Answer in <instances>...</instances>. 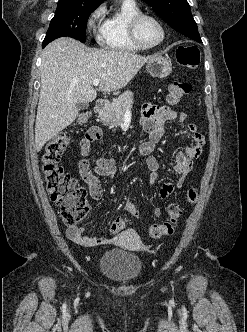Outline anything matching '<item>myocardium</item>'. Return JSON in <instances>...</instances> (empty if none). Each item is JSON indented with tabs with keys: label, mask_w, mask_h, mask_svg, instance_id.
Instances as JSON below:
<instances>
[{
	"label": "myocardium",
	"mask_w": 247,
	"mask_h": 332,
	"mask_svg": "<svg viewBox=\"0 0 247 332\" xmlns=\"http://www.w3.org/2000/svg\"><path fill=\"white\" fill-rule=\"evenodd\" d=\"M145 18L153 19L159 25V27L161 29V39L158 42L151 44V45L144 44L140 40L139 35H138L139 25H140L141 21ZM129 35H130V38L133 41V43L135 45H137L140 49H152L163 43V41L165 40V37H166V30H165L163 22L157 16L150 14V13L141 12V13L137 14L136 16H134L132 18V20L130 21Z\"/></svg>",
	"instance_id": "f54148a6"
}]
</instances>
